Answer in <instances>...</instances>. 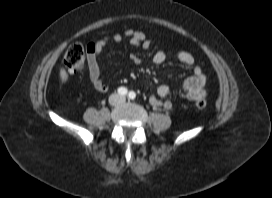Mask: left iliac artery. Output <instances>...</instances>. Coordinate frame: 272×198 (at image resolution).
<instances>
[{
	"mask_svg": "<svg viewBox=\"0 0 272 198\" xmlns=\"http://www.w3.org/2000/svg\"><path fill=\"white\" fill-rule=\"evenodd\" d=\"M128 96L130 99H134L136 97V94L135 92L131 91Z\"/></svg>",
	"mask_w": 272,
	"mask_h": 198,
	"instance_id": "44dca946",
	"label": "left iliac artery"
}]
</instances>
